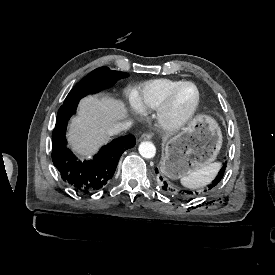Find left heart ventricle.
I'll return each mask as SVG.
<instances>
[{
  "label": "left heart ventricle",
  "instance_id": "1",
  "mask_svg": "<svg viewBox=\"0 0 275 275\" xmlns=\"http://www.w3.org/2000/svg\"><path fill=\"white\" fill-rule=\"evenodd\" d=\"M195 100V90L191 85L182 86L175 98L173 113L179 115L186 111Z\"/></svg>",
  "mask_w": 275,
  "mask_h": 275
}]
</instances>
